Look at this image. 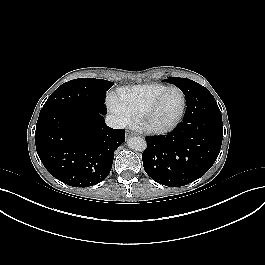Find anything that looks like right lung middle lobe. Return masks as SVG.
Returning <instances> with one entry per match:
<instances>
[{
    "mask_svg": "<svg viewBox=\"0 0 265 265\" xmlns=\"http://www.w3.org/2000/svg\"><path fill=\"white\" fill-rule=\"evenodd\" d=\"M114 83L102 79L79 78L59 86L47 99L42 109L70 106L79 109H96L106 114V91Z\"/></svg>",
    "mask_w": 265,
    "mask_h": 265,
    "instance_id": "obj_1",
    "label": "right lung middle lobe"
}]
</instances>
